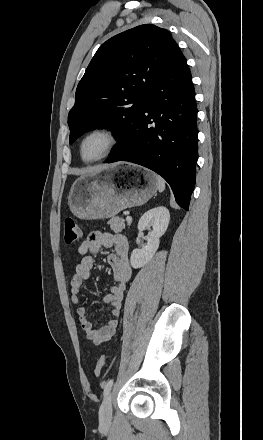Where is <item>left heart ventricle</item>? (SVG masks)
<instances>
[{"label":"left heart ventricle","instance_id":"left-heart-ventricle-1","mask_svg":"<svg viewBox=\"0 0 263 440\" xmlns=\"http://www.w3.org/2000/svg\"><path fill=\"white\" fill-rule=\"evenodd\" d=\"M107 146V139L100 134L91 135L83 144V156L86 159H93L101 155Z\"/></svg>","mask_w":263,"mask_h":440}]
</instances>
